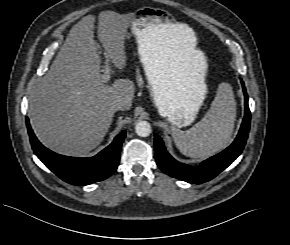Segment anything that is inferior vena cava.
<instances>
[{"instance_id": "obj_1", "label": "inferior vena cava", "mask_w": 290, "mask_h": 245, "mask_svg": "<svg viewBox=\"0 0 290 245\" xmlns=\"http://www.w3.org/2000/svg\"><path fill=\"white\" fill-rule=\"evenodd\" d=\"M111 109L115 112L118 110H123V104L120 101H114L111 105Z\"/></svg>"}]
</instances>
